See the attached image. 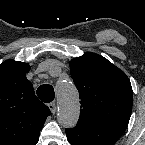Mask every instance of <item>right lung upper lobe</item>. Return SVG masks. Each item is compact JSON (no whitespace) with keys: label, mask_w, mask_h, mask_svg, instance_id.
Here are the masks:
<instances>
[{"label":"right lung upper lobe","mask_w":145,"mask_h":145,"mask_svg":"<svg viewBox=\"0 0 145 145\" xmlns=\"http://www.w3.org/2000/svg\"><path fill=\"white\" fill-rule=\"evenodd\" d=\"M28 63L0 65V145H36L49 108L34 94L26 78Z\"/></svg>","instance_id":"cb5924a9"}]
</instances>
